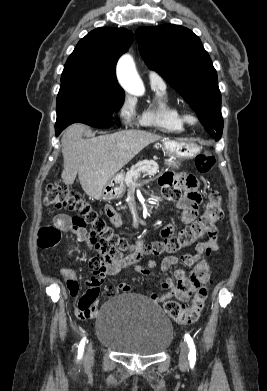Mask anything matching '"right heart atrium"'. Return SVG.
I'll use <instances>...</instances> for the list:
<instances>
[{
	"label": "right heart atrium",
	"mask_w": 267,
	"mask_h": 391,
	"mask_svg": "<svg viewBox=\"0 0 267 391\" xmlns=\"http://www.w3.org/2000/svg\"><path fill=\"white\" fill-rule=\"evenodd\" d=\"M134 114H135L134 102L129 98H125L117 110V115L120 122L121 123L129 122L130 119L134 116Z\"/></svg>",
	"instance_id": "obj_1"
}]
</instances>
